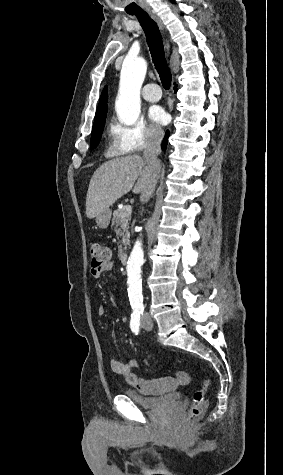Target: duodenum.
<instances>
[{
    "mask_svg": "<svg viewBox=\"0 0 283 475\" xmlns=\"http://www.w3.org/2000/svg\"><path fill=\"white\" fill-rule=\"evenodd\" d=\"M120 260L123 264H126L128 261V254L126 252H122L120 254Z\"/></svg>",
    "mask_w": 283,
    "mask_h": 475,
    "instance_id": "1",
    "label": "duodenum"
}]
</instances>
